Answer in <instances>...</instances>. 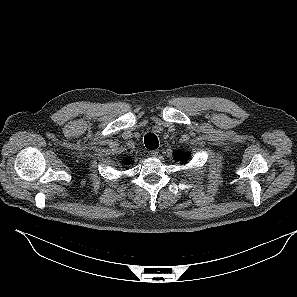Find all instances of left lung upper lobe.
I'll use <instances>...</instances> for the list:
<instances>
[{"label": "left lung upper lobe", "instance_id": "obj_1", "mask_svg": "<svg viewBox=\"0 0 297 297\" xmlns=\"http://www.w3.org/2000/svg\"><path fill=\"white\" fill-rule=\"evenodd\" d=\"M175 159L182 161L183 163H185L188 159H189V153L185 152H181V151H177L176 153H174Z\"/></svg>", "mask_w": 297, "mask_h": 297}]
</instances>
